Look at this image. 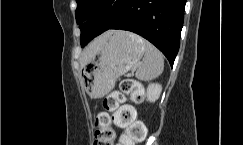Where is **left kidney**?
<instances>
[{
  "label": "left kidney",
  "instance_id": "1",
  "mask_svg": "<svg viewBox=\"0 0 243 145\" xmlns=\"http://www.w3.org/2000/svg\"><path fill=\"white\" fill-rule=\"evenodd\" d=\"M162 91V86L158 83L149 84L147 87V100L150 102H155Z\"/></svg>",
  "mask_w": 243,
  "mask_h": 145
}]
</instances>
